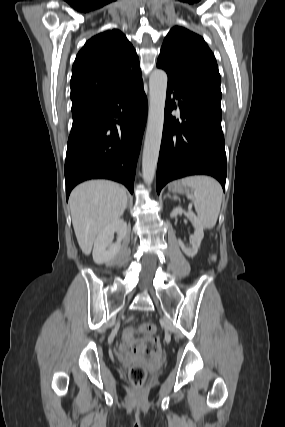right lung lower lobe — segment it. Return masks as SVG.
<instances>
[{
	"mask_svg": "<svg viewBox=\"0 0 285 427\" xmlns=\"http://www.w3.org/2000/svg\"><path fill=\"white\" fill-rule=\"evenodd\" d=\"M72 114L65 161L67 200L74 186L96 178L120 182L133 193L147 116L142 77L72 109Z\"/></svg>",
	"mask_w": 285,
	"mask_h": 427,
	"instance_id": "1",
	"label": "right lung lower lobe"
}]
</instances>
